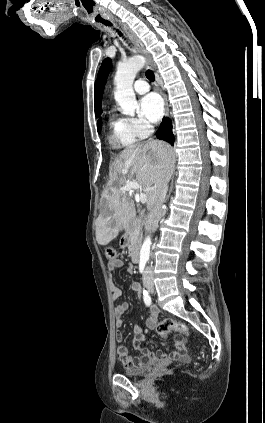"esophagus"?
<instances>
[{
  "label": "esophagus",
  "mask_w": 265,
  "mask_h": 423,
  "mask_svg": "<svg viewBox=\"0 0 265 423\" xmlns=\"http://www.w3.org/2000/svg\"><path fill=\"white\" fill-rule=\"evenodd\" d=\"M115 21L121 26V28L127 34V36L133 41V43L135 44L138 52H140L145 57L147 67L149 69H151V70L154 71L155 70V66L153 64V61H152L149 53L144 48V46H143L142 42L140 41V39L135 35V33L131 30V28L127 24L121 22L118 19H115ZM161 93H162V96H163V99H164V102H165L166 114H168V111H169L168 100H167V97L164 94V92L161 91Z\"/></svg>",
  "instance_id": "obj_1"
}]
</instances>
